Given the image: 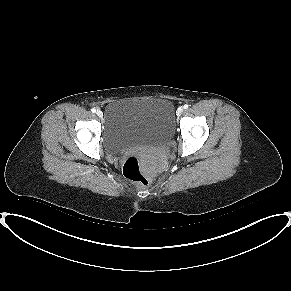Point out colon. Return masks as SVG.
<instances>
[{"label": "colon", "instance_id": "1", "mask_svg": "<svg viewBox=\"0 0 291 291\" xmlns=\"http://www.w3.org/2000/svg\"><path fill=\"white\" fill-rule=\"evenodd\" d=\"M124 174L143 188L149 187L152 183L151 176L142 168L139 154H131L127 157L124 163Z\"/></svg>", "mask_w": 291, "mask_h": 291}]
</instances>
